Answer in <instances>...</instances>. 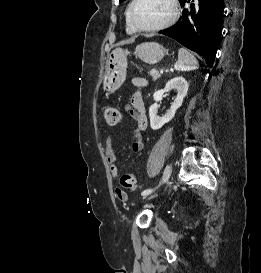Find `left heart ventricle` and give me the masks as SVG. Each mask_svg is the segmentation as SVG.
I'll list each match as a JSON object with an SVG mask.
<instances>
[{
    "mask_svg": "<svg viewBox=\"0 0 261 273\" xmlns=\"http://www.w3.org/2000/svg\"><path fill=\"white\" fill-rule=\"evenodd\" d=\"M169 0H138L132 13L139 27H152L165 22L171 14Z\"/></svg>",
    "mask_w": 261,
    "mask_h": 273,
    "instance_id": "b2bd125f",
    "label": "left heart ventricle"
}]
</instances>
